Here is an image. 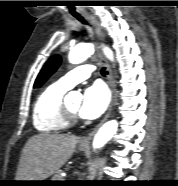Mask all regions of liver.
I'll return each instance as SVG.
<instances>
[{"label": "liver", "mask_w": 178, "mask_h": 186, "mask_svg": "<svg viewBox=\"0 0 178 186\" xmlns=\"http://www.w3.org/2000/svg\"><path fill=\"white\" fill-rule=\"evenodd\" d=\"M79 137L58 133H40L25 144L16 179L42 181L59 170L72 156Z\"/></svg>", "instance_id": "liver-1"}]
</instances>
